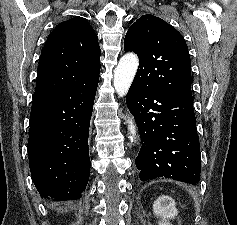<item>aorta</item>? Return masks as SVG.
Returning <instances> with one entry per match:
<instances>
[{"label":"aorta","instance_id":"obj_1","mask_svg":"<svg viewBox=\"0 0 237 225\" xmlns=\"http://www.w3.org/2000/svg\"><path fill=\"white\" fill-rule=\"evenodd\" d=\"M138 57L133 53L125 54L120 60L114 72V88L120 97H124L135 77L138 69ZM128 130L130 131L131 141H135L136 129L133 121L128 120Z\"/></svg>","mask_w":237,"mask_h":225}]
</instances>
